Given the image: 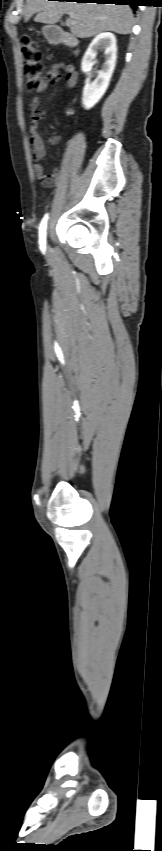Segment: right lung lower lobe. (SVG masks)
<instances>
[{"label": "right lung lower lobe", "instance_id": "obj_1", "mask_svg": "<svg viewBox=\"0 0 162 851\" xmlns=\"http://www.w3.org/2000/svg\"><path fill=\"white\" fill-rule=\"evenodd\" d=\"M61 1V0H60ZM69 1V0H62ZM76 2L98 3V4H116V5H131L137 6L138 0H74Z\"/></svg>", "mask_w": 162, "mask_h": 851}]
</instances>
